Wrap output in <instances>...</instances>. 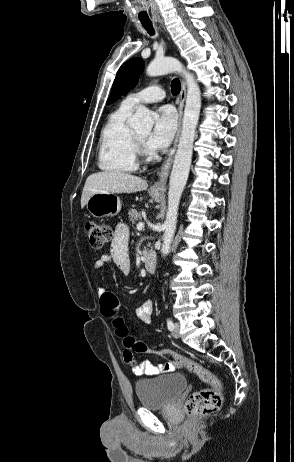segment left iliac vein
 I'll return each mask as SVG.
<instances>
[{
  "mask_svg": "<svg viewBox=\"0 0 294 462\" xmlns=\"http://www.w3.org/2000/svg\"><path fill=\"white\" fill-rule=\"evenodd\" d=\"M172 336L174 338H179L180 337V324L179 323L174 324V328H173V331H172Z\"/></svg>",
  "mask_w": 294,
  "mask_h": 462,
  "instance_id": "obj_1",
  "label": "left iliac vein"
}]
</instances>
